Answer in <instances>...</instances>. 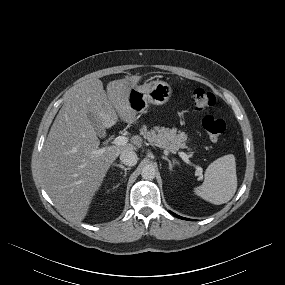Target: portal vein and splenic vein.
<instances>
[{"mask_svg":"<svg viewBox=\"0 0 285 285\" xmlns=\"http://www.w3.org/2000/svg\"><path fill=\"white\" fill-rule=\"evenodd\" d=\"M128 143V138L127 137H125V136H118V137H116L114 140H113V144H115V145H126ZM104 152V150L103 149H99L97 152H96V154L97 155H100V154H102ZM179 154V156L182 158V160L184 161V162H186V163H190V161H189V156L186 154V153H184V152H179L178 153ZM196 170H197V172L201 175L202 174V168L201 167H199V166H196Z\"/></svg>","mask_w":285,"mask_h":285,"instance_id":"portal-vein-and-splenic-vein-1","label":"portal vein and splenic vein"}]
</instances>
